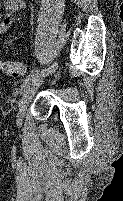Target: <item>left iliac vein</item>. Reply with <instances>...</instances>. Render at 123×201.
<instances>
[{
	"label": "left iliac vein",
	"instance_id": "obj_1",
	"mask_svg": "<svg viewBox=\"0 0 123 201\" xmlns=\"http://www.w3.org/2000/svg\"><path fill=\"white\" fill-rule=\"evenodd\" d=\"M46 76L47 75H44V76L40 75V76L36 77L25 88V90L22 94L21 100H20V104H19V112H18V119H17L18 125H21L22 119L25 115L28 104L30 103L32 97L34 96V94L36 93L38 88L42 85L43 80Z\"/></svg>",
	"mask_w": 123,
	"mask_h": 201
}]
</instances>
